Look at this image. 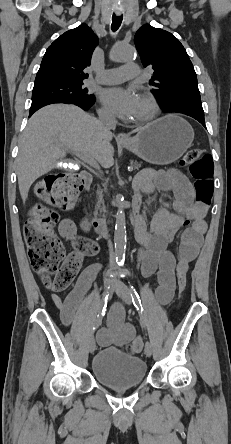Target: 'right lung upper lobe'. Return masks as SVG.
Listing matches in <instances>:
<instances>
[{"mask_svg":"<svg viewBox=\"0 0 231 444\" xmlns=\"http://www.w3.org/2000/svg\"><path fill=\"white\" fill-rule=\"evenodd\" d=\"M98 38L90 27L81 24L56 39L46 50L34 87L54 83H83V70L90 65Z\"/></svg>","mask_w":231,"mask_h":444,"instance_id":"obj_1","label":"right lung upper lobe"}]
</instances>
